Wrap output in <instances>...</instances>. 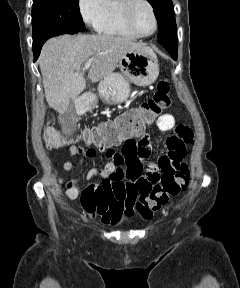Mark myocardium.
<instances>
[{
	"mask_svg": "<svg viewBox=\"0 0 240 288\" xmlns=\"http://www.w3.org/2000/svg\"><path fill=\"white\" fill-rule=\"evenodd\" d=\"M141 4L146 5L150 9L152 16H153V19H154V23H155V27H154L153 32L150 34H147V35L139 33L136 30V28L134 26V22H133L135 10ZM123 18H124V22H125L126 27L134 35H136L139 38H149V37L153 36L158 31V28H159V21H158L156 10L149 0H124Z\"/></svg>",
	"mask_w": 240,
	"mask_h": 288,
	"instance_id": "myocardium-1",
	"label": "myocardium"
}]
</instances>
